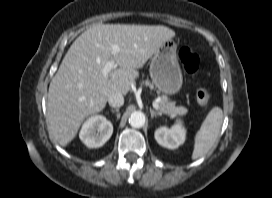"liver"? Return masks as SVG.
<instances>
[{"label":"liver","instance_id":"1","mask_svg":"<svg viewBox=\"0 0 272 198\" xmlns=\"http://www.w3.org/2000/svg\"><path fill=\"white\" fill-rule=\"evenodd\" d=\"M173 37L175 32L162 25L96 24L84 31L49 85L47 118L56 141L66 146L88 116L105 108L111 94L126 95L139 77L137 69ZM113 45L120 51L114 53ZM109 61L119 68L105 77Z\"/></svg>","mask_w":272,"mask_h":198}]
</instances>
